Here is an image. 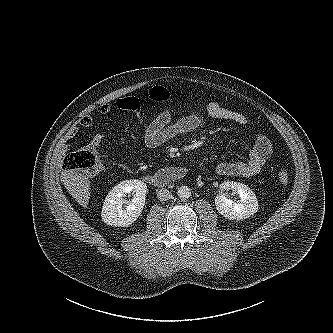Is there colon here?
<instances>
[{
    "label": "colon",
    "instance_id": "1",
    "mask_svg": "<svg viewBox=\"0 0 333 333\" xmlns=\"http://www.w3.org/2000/svg\"><path fill=\"white\" fill-rule=\"evenodd\" d=\"M147 96L158 103H168L172 99L169 91L161 86L151 88ZM103 167L101 156L94 145H86L68 154L64 159L65 169L81 171L89 175L100 173ZM278 181L281 184H287L289 182V174L285 169H281L278 172Z\"/></svg>",
    "mask_w": 333,
    "mask_h": 333
}]
</instances>
